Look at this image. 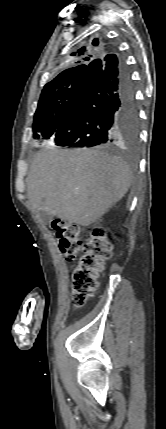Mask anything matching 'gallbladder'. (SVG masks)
I'll return each instance as SVG.
<instances>
[{
    "mask_svg": "<svg viewBox=\"0 0 166 429\" xmlns=\"http://www.w3.org/2000/svg\"><path fill=\"white\" fill-rule=\"evenodd\" d=\"M39 214L44 223H48L50 221V216L46 212L39 211Z\"/></svg>",
    "mask_w": 166,
    "mask_h": 429,
    "instance_id": "bac80fb5",
    "label": "gallbladder"
}]
</instances>
